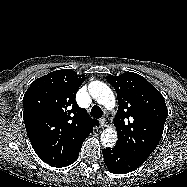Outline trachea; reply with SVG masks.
<instances>
[{"label": "trachea", "mask_w": 187, "mask_h": 187, "mask_svg": "<svg viewBox=\"0 0 187 187\" xmlns=\"http://www.w3.org/2000/svg\"><path fill=\"white\" fill-rule=\"evenodd\" d=\"M102 114H103V112H102V110H101V108H100L99 106L94 105V106L92 107L91 112H90V115H91L92 117H94V118H96V119H99V118L102 117Z\"/></svg>", "instance_id": "3493384b"}]
</instances>
